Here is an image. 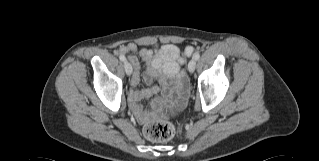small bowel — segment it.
<instances>
[{"instance_id":"small-bowel-1","label":"small bowel","mask_w":319,"mask_h":161,"mask_svg":"<svg viewBox=\"0 0 319 161\" xmlns=\"http://www.w3.org/2000/svg\"><path fill=\"white\" fill-rule=\"evenodd\" d=\"M136 50L137 46L132 42L122 45L118 49L121 55H128V61L134 68L131 81L133 87H136L140 81L139 61L136 56L133 55ZM190 53H192L191 46H187L181 54L178 48L172 44L162 46L154 58H152V51L150 49H142L140 51V56L148 63L144 74L145 81L149 87L143 90L131 91L128 97L131 110L139 120L157 119L158 108L163 102H167L178 109L184 106L186 94L185 73L179 69L177 61H182ZM160 70H163L169 76L177 79L174 83V90L168 87L164 88L162 90V97L155 101L154 108L149 111H144L138 102L142 98L154 96L160 91V88L153 84L155 79L163 78L160 74Z\"/></svg>"}]
</instances>
